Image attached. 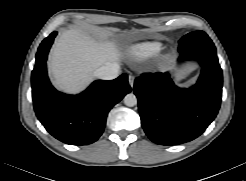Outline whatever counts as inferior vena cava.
I'll list each match as a JSON object with an SVG mask.
<instances>
[{
	"mask_svg": "<svg viewBox=\"0 0 246 181\" xmlns=\"http://www.w3.org/2000/svg\"><path fill=\"white\" fill-rule=\"evenodd\" d=\"M120 69L117 63H108L98 68L94 75L99 79L112 80L119 76Z\"/></svg>",
	"mask_w": 246,
	"mask_h": 181,
	"instance_id": "1",
	"label": "inferior vena cava"
}]
</instances>
